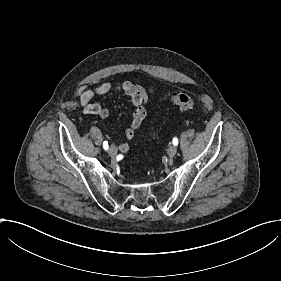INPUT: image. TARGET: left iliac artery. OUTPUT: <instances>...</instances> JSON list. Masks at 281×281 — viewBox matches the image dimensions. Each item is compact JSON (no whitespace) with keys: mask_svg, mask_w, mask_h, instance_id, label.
<instances>
[{"mask_svg":"<svg viewBox=\"0 0 281 281\" xmlns=\"http://www.w3.org/2000/svg\"><path fill=\"white\" fill-rule=\"evenodd\" d=\"M173 144L176 146V145H178V139L177 138H174L173 139Z\"/></svg>","mask_w":281,"mask_h":281,"instance_id":"1","label":"left iliac artery"}]
</instances>
